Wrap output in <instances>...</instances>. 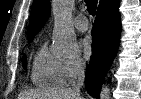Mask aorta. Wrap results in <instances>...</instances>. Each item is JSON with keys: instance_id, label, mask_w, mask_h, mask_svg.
Masks as SVG:
<instances>
[{"instance_id": "1", "label": "aorta", "mask_w": 141, "mask_h": 99, "mask_svg": "<svg viewBox=\"0 0 141 99\" xmlns=\"http://www.w3.org/2000/svg\"><path fill=\"white\" fill-rule=\"evenodd\" d=\"M74 0H53L54 14L53 40L56 52L62 55H73L77 52L76 35L71 23ZM100 99H111L108 85H103Z\"/></svg>"}]
</instances>
